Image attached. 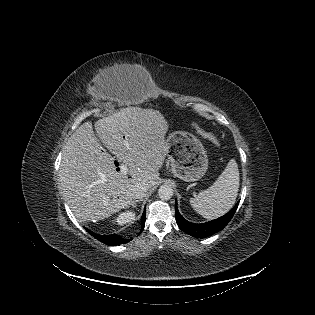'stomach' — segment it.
Segmentation results:
<instances>
[{
  "label": "stomach",
  "mask_w": 315,
  "mask_h": 315,
  "mask_svg": "<svg viewBox=\"0 0 315 315\" xmlns=\"http://www.w3.org/2000/svg\"><path fill=\"white\" fill-rule=\"evenodd\" d=\"M168 157L175 177L186 182L201 179L208 169V158L201 141L186 131H175L167 138Z\"/></svg>",
  "instance_id": "stomach-1"
}]
</instances>
